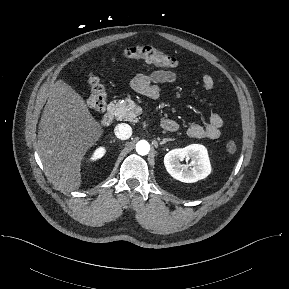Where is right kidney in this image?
Returning a JSON list of instances; mask_svg holds the SVG:
<instances>
[{
	"instance_id": "right-kidney-1",
	"label": "right kidney",
	"mask_w": 289,
	"mask_h": 289,
	"mask_svg": "<svg viewBox=\"0 0 289 289\" xmlns=\"http://www.w3.org/2000/svg\"><path fill=\"white\" fill-rule=\"evenodd\" d=\"M106 150L104 147H99L95 150L92 157L90 158L91 161H96L97 159H100L104 156Z\"/></svg>"
}]
</instances>
